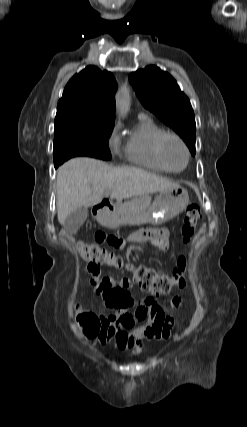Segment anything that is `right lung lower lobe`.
Segmentation results:
<instances>
[{"mask_svg": "<svg viewBox=\"0 0 247 427\" xmlns=\"http://www.w3.org/2000/svg\"><path fill=\"white\" fill-rule=\"evenodd\" d=\"M62 163H54L55 168H57L59 165H61Z\"/></svg>", "mask_w": 247, "mask_h": 427, "instance_id": "98d812e1", "label": "right lung lower lobe"}]
</instances>
